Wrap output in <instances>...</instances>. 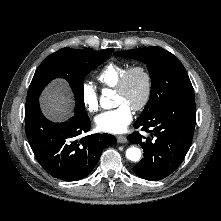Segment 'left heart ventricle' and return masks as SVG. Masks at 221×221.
Masks as SVG:
<instances>
[{
    "mask_svg": "<svg viewBox=\"0 0 221 221\" xmlns=\"http://www.w3.org/2000/svg\"><path fill=\"white\" fill-rule=\"evenodd\" d=\"M145 91V79L141 73H134L128 83L124 92H117L115 101L117 105L122 103L127 104L133 108L140 102Z\"/></svg>",
    "mask_w": 221,
    "mask_h": 221,
    "instance_id": "left-heart-ventricle-1",
    "label": "left heart ventricle"
}]
</instances>
